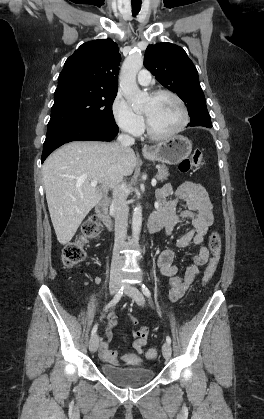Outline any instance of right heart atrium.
<instances>
[{
	"mask_svg": "<svg viewBox=\"0 0 264 419\" xmlns=\"http://www.w3.org/2000/svg\"><path fill=\"white\" fill-rule=\"evenodd\" d=\"M111 112L116 125L130 135H139L144 127L140 114L132 110L124 96L118 92L111 104Z\"/></svg>",
	"mask_w": 264,
	"mask_h": 419,
	"instance_id": "right-heart-atrium-1",
	"label": "right heart atrium"
}]
</instances>
